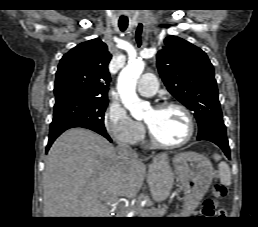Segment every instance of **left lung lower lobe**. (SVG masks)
I'll list each match as a JSON object with an SVG mask.
<instances>
[{"instance_id": "obj_1", "label": "left lung lower lobe", "mask_w": 258, "mask_h": 227, "mask_svg": "<svg viewBox=\"0 0 258 227\" xmlns=\"http://www.w3.org/2000/svg\"><path fill=\"white\" fill-rule=\"evenodd\" d=\"M198 140H207V141H211V142L215 143L223 150L225 155L230 159V148L228 145V139H227L226 135L210 134V135L204 136Z\"/></svg>"}]
</instances>
